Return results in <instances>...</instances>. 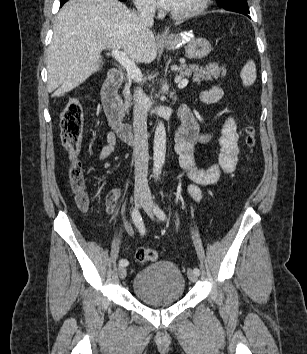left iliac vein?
I'll use <instances>...</instances> for the list:
<instances>
[{"label":"left iliac vein","instance_id":"left-iliac-vein-1","mask_svg":"<svg viewBox=\"0 0 307 354\" xmlns=\"http://www.w3.org/2000/svg\"><path fill=\"white\" fill-rule=\"evenodd\" d=\"M144 208V210L146 211V213L151 217L154 218V214H153V203L151 201L150 198H146L145 203L142 206ZM187 275L190 281L192 282H196L198 279V275L194 273V271H192L191 269H188L187 271Z\"/></svg>","mask_w":307,"mask_h":354}]
</instances>
